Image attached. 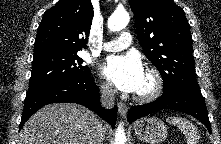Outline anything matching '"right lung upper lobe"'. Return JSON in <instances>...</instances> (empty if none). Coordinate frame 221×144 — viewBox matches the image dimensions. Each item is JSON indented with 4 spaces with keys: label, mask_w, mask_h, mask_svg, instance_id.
Instances as JSON below:
<instances>
[{
    "label": "right lung upper lobe",
    "mask_w": 221,
    "mask_h": 144,
    "mask_svg": "<svg viewBox=\"0 0 221 144\" xmlns=\"http://www.w3.org/2000/svg\"><path fill=\"white\" fill-rule=\"evenodd\" d=\"M92 18L91 0H60L43 15L34 53L82 50L87 43Z\"/></svg>",
    "instance_id": "1"
}]
</instances>
